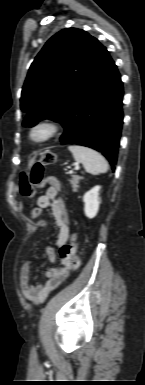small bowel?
Here are the masks:
<instances>
[{
    "mask_svg": "<svg viewBox=\"0 0 145 385\" xmlns=\"http://www.w3.org/2000/svg\"><path fill=\"white\" fill-rule=\"evenodd\" d=\"M49 188L46 193L37 199V209L51 207L52 214L57 227L56 245L62 247L70 237L69 214L59 196L60 182L56 178L48 180ZM45 221H39L37 226L44 227ZM46 255L51 263L56 262V252L52 246L45 248ZM69 260L61 259L59 267H52L48 270L46 279L40 283H33L31 280V263L25 262L20 271L21 293L24 298L34 305L42 304L49 293L65 281L73 270Z\"/></svg>",
    "mask_w": 145,
    "mask_h": 385,
    "instance_id": "c3829d8e",
    "label": "small bowel"
}]
</instances>
